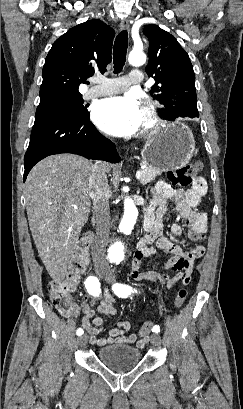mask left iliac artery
Returning <instances> with one entry per match:
<instances>
[{
	"label": "left iliac artery",
	"instance_id": "1",
	"mask_svg": "<svg viewBox=\"0 0 243 409\" xmlns=\"http://www.w3.org/2000/svg\"><path fill=\"white\" fill-rule=\"evenodd\" d=\"M112 289H113L114 293L116 295H118L119 297H127L133 292V289H132L131 286L121 284V283L114 284ZM152 331L154 333H158V332H160V327L159 326H154Z\"/></svg>",
	"mask_w": 243,
	"mask_h": 409
}]
</instances>
